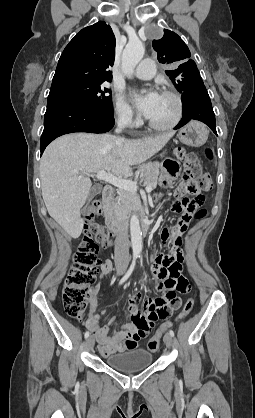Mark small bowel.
<instances>
[{
  "label": "small bowel",
  "mask_w": 255,
  "mask_h": 418,
  "mask_svg": "<svg viewBox=\"0 0 255 418\" xmlns=\"http://www.w3.org/2000/svg\"><path fill=\"white\" fill-rule=\"evenodd\" d=\"M174 161L165 162L162 173V184L168 185L172 182L179 170L178 163H188L190 156L186 153L185 147H176ZM185 192L184 187L177 190L180 196ZM176 206H174L175 210ZM189 223L182 218L179 224L174 227H165L160 237L154 239V244L160 246L156 250L151 265V273L155 281V288L162 291L160 297L147 298L143 301L145 313L142 314L136 309V304L131 301L126 310L132 315V322L118 325L115 318H112L108 325L100 326L98 323V288L91 290L90 310L86 320V326L91 329L96 338L99 351L103 357L115 353L127 352L135 349L141 339L145 338L159 320H171L175 311L183 308L184 298L188 297L191 286L189 276L183 274L181 248L183 242L181 236L186 231ZM113 262L106 259L101 266V274L111 272ZM103 314V313H102ZM110 326L117 327V330L109 334ZM165 328V325L161 327Z\"/></svg>",
  "instance_id": "c3829d8e"
}]
</instances>
